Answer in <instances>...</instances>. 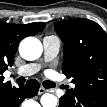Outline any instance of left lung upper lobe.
Here are the masks:
<instances>
[{"label":"left lung upper lobe","instance_id":"5c2ea615","mask_svg":"<svg viewBox=\"0 0 107 107\" xmlns=\"http://www.w3.org/2000/svg\"><path fill=\"white\" fill-rule=\"evenodd\" d=\"M64 43L62 71L84 97L107 94V34L95 22L76 18L55 23Z\"/></svg>","mask_w":107,"mask_h":107}]
</instances>
